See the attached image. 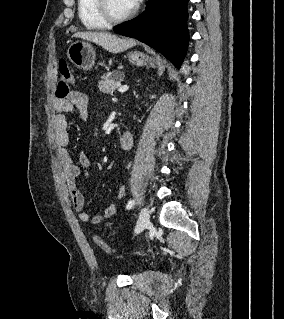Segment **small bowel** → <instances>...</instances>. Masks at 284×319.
I'll list each match as a JSON object with an SVG mask.
<instances>
[{"label": "small bowel", "mask_w": 284, "mask_h": 319, "mask_svg": "<svg viewBox=\"0 0 284 319\" xmlns=\"http://www.w3.org/2000/svg\"><path fill=\"white\" fill-rule=\"evenodd\" d=\"M54 114L52 118L54 141L58 147L59 158L65 174L72 205L78 214L79 219L85 223L99 224L104 219H110L117 213V206L110 204L106 207L102 215L90 216L85 211L84 195L80 190L77 180L82 173L88 175L91 162L86 153L81 152L78 156L77 165L68 150L69 132L66 114L77 111L81 119H86L88 114V97L80 91H72L66 98H56L54 100ZM125 194L124 186L118 188L116 197L122 199Z\"/></svg>", "instance_id": "obj_1"}]
</instances>
